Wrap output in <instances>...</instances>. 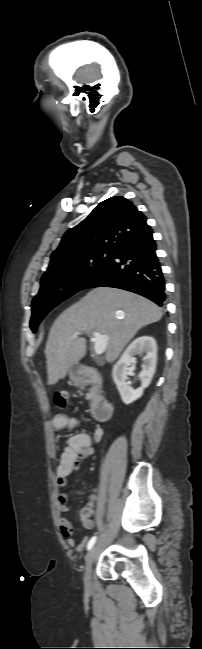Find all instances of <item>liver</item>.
Masks as SVG:
<instances>
[{
  "label": "liver",
  "mask_w": 202,
  "mask_h": 649,
  "mask_svg": "<svg viewBox=\"0 0 202 649\" xmlns=\"http://www.w3.org/2000/svg\"><path fill=\"white\" fill-rule=\"evenodd\" d=\"M162 309L136 293L98 287L67 308L53 323L45 347L48 384L63 379L85 355L86 340L75 333L106 337V359L114 361L136 332L157 322Z\"/></svg>",
  "instance_id": "6515ba94"
}]
</instances>
